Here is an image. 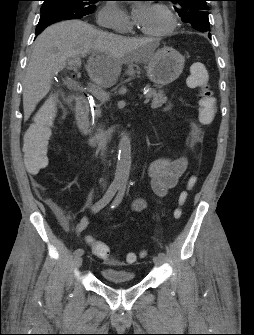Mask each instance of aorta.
<instances>
[{"instance_id":"obj_1","label":"aorta","mask_w":254,"mask_h":335,"mask_svg":"<svg viewBox=\"0 0 254 335\" xmlns=\"http://www.w3.org/2000/svg\"><path fill=\"white\" fill-rule=\"evenodd\" d=\"M131 169V139L125 132L121 134L119 141V154L115 171L114 184L125 187L128 182Z\"/></svg>"}]
</instances>
